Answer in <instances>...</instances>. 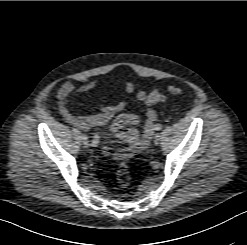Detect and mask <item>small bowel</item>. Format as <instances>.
<instances>
[{
  "label": "small bowel",
  "mask_w": 247,
  "mask_h": 245,
  "mask_svg": "<svg viewBox=\"0 0 247 245\" xmlns=\"http://www.w3.org/2000/svg\"><path fill=\"white\" fill-rule=\"evenodd\" d=\"M98 87L102 86L96 80L89 81L80 87H76L72 81L65 82L57 92L58 110L60 115L69 124L83 131H88L91 127L101 126L111 120H114L110 131L111 135L128 143V147L116 154V157L128 159L135 154L142 152L149 145L152 139L154 133V123L157 119L156 111L149 107L150 102L148 101L146 92L139 90L135 93L136 100L147 106L145 109L146 119L143 133L140 135L138 130L135 128L121 130L126 125H136L141 121L140 116L137 114L122 112L127 104L125 100L115 106L101 105L99 113L90 116H80L70 111L69 100L73 96L87 93ZM124 90L128 95L133 94L135 91L134 83L131 81H126L124 83Z\"/></svg>",
  "instance_id": "1"
}]
</instances>
